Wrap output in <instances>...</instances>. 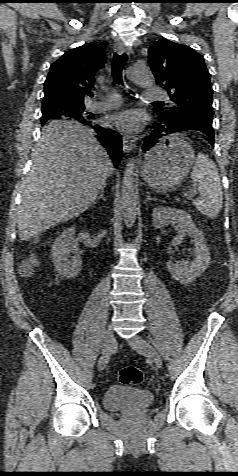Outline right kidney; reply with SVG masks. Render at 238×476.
<instances>
[{
	"instance_id": "1",
	"label": "right kidney",
	"mask_w": 238,
	"mask_h": 476,
	"mask_svg": "<svg viewBox=\"0 0 238 476\" xmlns=\"http://www.w3.org/2000/svg\"><path fill=\"white\" fill-rule=\"evenodd\" d=\"M79 246L75 239L73 227L65 229L52 246V260L57 273L64 279H73L81 271L82 260L77 255ZM74 257L69 260V255Z\"/></svg>"
}]
</instances>
